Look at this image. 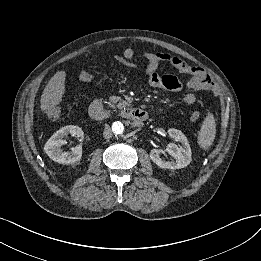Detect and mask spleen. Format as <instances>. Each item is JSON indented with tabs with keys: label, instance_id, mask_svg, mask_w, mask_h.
<instances>
[{
	"label": "spleen",
	"instance_id": "spleen-1",
	"mask_svg": "<svg viewBox=\"0 0 261 261\" xmlns=\"http://www.w3.org/2000/svg\"><path fill=\"white\" fill-rule=\"evenodd\" d=\"M216 134V123L213 114L208 113L201 126L198 143L203 149L209 148Z\"/></svg>",
	"mask_w": 261,
	"mask_h": 261
}]
</instances>
